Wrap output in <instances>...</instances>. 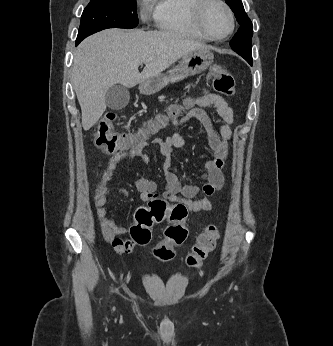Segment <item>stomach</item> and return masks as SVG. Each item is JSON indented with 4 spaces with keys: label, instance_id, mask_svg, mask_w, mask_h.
<instances>
[{
    "label": "stomach",
    "instance_id": "obj_1",
    "mask_svg": "<svg viewBox=\"0 0 333 346\" xmlns=\"http://www.w3.org/2000/svg\"><path fill=\"white\" fill-rule=\"evenodd\" d=\"M213 59V53L207 48L190 52L168 73L158 74L140 83L139 91L142 95L157 93L169 83L181 81L206 70L212 64Z\"/></svg>",
    "mask_w": 333,
    "mask_h": 346
}]
</instances>
